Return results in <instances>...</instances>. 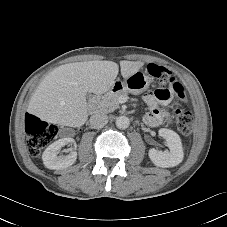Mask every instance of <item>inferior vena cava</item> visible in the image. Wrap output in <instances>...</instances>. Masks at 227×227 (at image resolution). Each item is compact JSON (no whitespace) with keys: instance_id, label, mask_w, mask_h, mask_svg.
<instances>
[{"instance_id":"obj_1","label":"inferior vena cava","mask_w":227,"mask_h":227,"mask_svg":"<svg viewBox=\"0 0 227 227\" xmlns=\"http://www.w3.org/2000/svg\"><path fill=\"white\" fill-rule=\"evenodd\" d=\"M108 123V116L104 113H97L91 116L90 125L93 128H103Z\"/></svg>"}]
</instances>
